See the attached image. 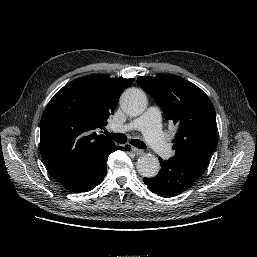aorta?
I'll return each instance as SVG.
<instances>
[{
  "instance_id": "obj_1",
  "label": "aorta",
  "mask_w": 257,
  "mask_h": 257,
  "mask_svg": "<svg viewBox=\"0 0 257 257\" xmlns=\"http://www.w3.org/2000/svg\"><path fill=\"white\" fill-rule=\"evenodd\" d=\"M120 104L126 114L138 116L142 114L147 107V97L143 91L131 88L122 94ZM136 167L141 176L152 178L158 174L160 162L154 155L145 154L137 160Z\"/></svg>"
}]
</instances>
